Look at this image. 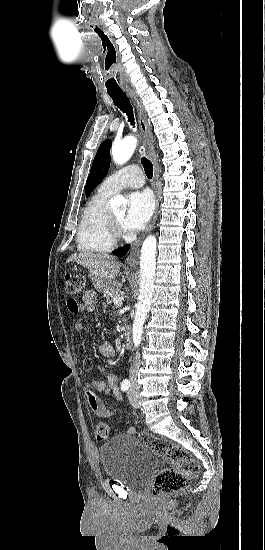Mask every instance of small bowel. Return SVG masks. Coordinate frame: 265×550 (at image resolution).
I'll list each match as a JSON object with an SVG mask.
<instances>
[{"label": "small bowel", "mask_w": 265, "mask_h": 550, "mask_svg": "<svg viewBox=\"0 0 265 550\" xmlns=\"http://www.w3.org/2000/svg\"><path fill=\"white\" fill-rule=\"evenodd\" d=\"M71 299L69 302H72ZM97 296L95 291L88 290L83 295V302L80 311L90 313L93 312L97 306ZM69 308V307H68ZM70 310V309H69ZM71 311V310H70ZM72 312V311H71ZM74 330L76 333H81L84 330V327L81 323H76L74 325ZM98 353L104 358H113L115 356V351L113 346L110 343H102L98 346ZM100 372L103 371L101 367H98ZM87 388L103 393H113L117 401H121L122 397L118 389V375L115 373H108L106 379L102 380H93L87 384ZM89 404L92 412L99 418H107L112 415V412L106 408L104 403L94 397L92 394L89 397Z\"/></svg>", "instance_id": "c3829d8e"}]
</instances>
